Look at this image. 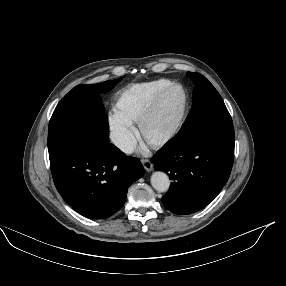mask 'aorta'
Masks as SVG:
<instances>
[{"label":"aorta","instance_id":"762f6f07","mask_svg":"<svg viewBox=\"0 0 286 286\" xmlns=\"http://www.w3.org/2000/svg\"><path fill=\"white\" fill-rule=\"evenodd\" d=\"M151 185L158 192H166L170 186V180L166 173L157 171L151 175Z\"/></svg>","mask_w":286,"mask_h":286}]
</instances>
